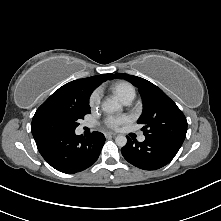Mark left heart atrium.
Segmentation results:
<instances>
[{"label":"left heart atrium","mask_w":221,"mask_h":221,"mask_svg":"<svg viewBox=\"0 0 221 221\" xmlns=\"http://www.w3.org/2000/svg\"><path fill=\"white\" fill-rule=\"evenodd\" d=\"M127 118L124 116H109L106 119V125L110 128H118L120 125L125 123Z\"/></svg>","instance_id":"left-heart-atrium-1"}]
</instances>
